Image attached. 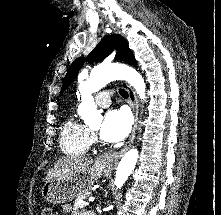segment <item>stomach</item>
I'll use <instances>...</instances> for the list:
<instances>
[{
    "label": "stomach",
    "mask_w": 221,
    "mask_h": 215,
    "mask_svg": "<svg viewBox=\"0 0 221 215\" xmlns=\"http://www.w3.org/2000/svg\"><path fill=\"white\" fill-rule=\"evenodd\" d=\"M109 171L103 163L96 161L87 170L67 179L47 181L41 190L42 197L52 204L72 201L85 192H89L97 180Z\"/></svg>",
    "instance_id": "obj_1"
}]
</instances>
